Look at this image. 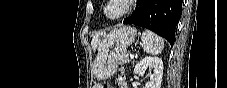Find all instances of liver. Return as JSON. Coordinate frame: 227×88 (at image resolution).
Here are the masks:
<instances>
[{"label":"liver","instance_id":"obj_1","mask_svg":"<svg viewBox=\"0 0 227 88\" xmlns=\"http://www.w3.org/2000/svg\"><path fill=\"white\" fill-rule=\"evenodd\" d=\"M103 37H105L106 36V33H102L101 34ZM99 34H97V35H95L94 37H93V39H92V42H91V45H92V48H93V50L94 49H96L97 47H98V45L100 44V38H99Z\"/></svg>","mask_w":227,"mask_h":88}]
</instances>
